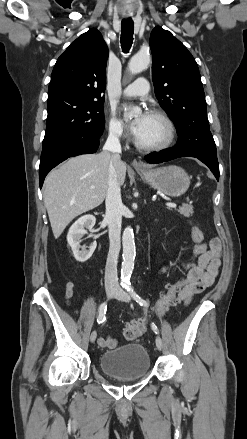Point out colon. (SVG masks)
Segmentation results:
<instances>
[{
    "instance_id": "5ec220e1",
    "label": "colon",
    "mask_w": 247,
    "mask_h": 439,
    "mask_svg": "<svg viewBox=\"0 0 247 439\" xmlns=\"http://www.w3.org/2000/svg\"><path fill=\"white\" fill-rule=\"evenodd\" d=\"M191 236L196 245L202 244L204 235L198 227L191 229ZM183 284L181 281L170 283L166 286L165 292L162 293L160 299L153 307L154 315L162 316L177 301V294L181 290ZM146 320L139 319L128 322L124 328V337L129 341L138 339L145 331Z\"/></svg>"
}]
</instances>
